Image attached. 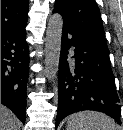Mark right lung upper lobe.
<instances>
[{
	"instance_id": "right-lung-upper-lobe-1",
	"label": "right lung upper lobe",
	"mask_w": 123,
	"mask_h": 130,
	"mask_svg": "<svg viewBox=\"0 0 123 130\" xmlns=\"http://www.w3.org/2000/svg\"><path fill=\"white\" fill-rule=\"evenodd\" d=\"M29 0H1V33L24 29Z\"/></svg>"
}]
</instances>
